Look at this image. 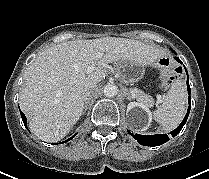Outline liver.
Listing matches in <instances>:
<instances>
[{
	"instance_id": "6515ba94",
	"label": "liver",
	"mask_w": 209,
	"mask_h": 179,
	"mask_svg": "<svg viewBox=\"0 0 209 179\" xmlns=\"http://www.w3.org/2000/svg\"><path fill=\"white\" fill-rule=\"evenodd\" d=\"M162 54L154 46L116 37L69 41L45 49L24 74L19 105L29 117L30 130L46 142L63 139L83 112L85 92L105 78L107 63L151 65ZM99 59L98 69L88 72Z\"/></svg>"
}]
</instances>
